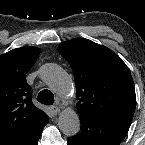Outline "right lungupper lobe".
Segmentation results:
<instances>
[{"mask_svg":"<svg viewBox=\"0 0 145 145\" xmlns=\"http://www.w3.org/2000/svg\"><path fill=\"white\" fill-rule=\"evenodd\" d=\"M39 54V48L21 47L0 55V145H9L49 119L32 103L26 81Z\"/></svg>","mask_w":145,"mask_h":145,"instance_id":"cb5924a9","label":"right lung upper lobe"}]
</instances>
